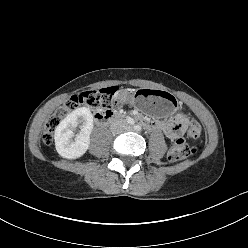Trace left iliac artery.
<instances>
[{"mask_svg": "<svg viewBox=\"0 0 248 248\" xmlns=\"http://www.w3.org/2000/svg\"><path fill=\"white\" fill-rule=\"evenodd\" d=\"M134 129H135L136 131H141V127H140L139 125H135V126H134Z\"/></svg>", "mask_w": 248, "mask_h": 248, "instance_id": "1", "label": "left iliac artery"}]
</instances>
